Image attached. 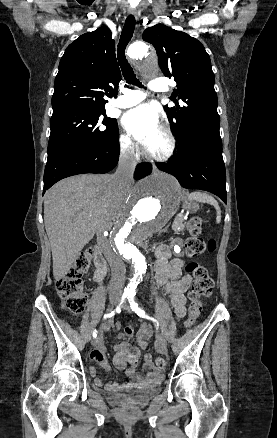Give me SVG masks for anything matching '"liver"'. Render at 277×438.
Segmentation results:
<instances>
[{
	"label": "liver",
	"instance_id": "6515ba94",
	"mask_svg": "<svg viewBox=\"0 0 277 438\" xmlns=\"http://www.w3.org/2000/svg\"><path fill=\"white\" fill-rule=\"evenodd\" d=\"M112 174H80L61 180L44 196L54 280H62L96 232L110 230L127 205Z\"/></svg>",
	"mask_w": 277,
	"mask_h": 438
}]
</instances>
